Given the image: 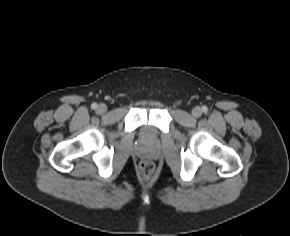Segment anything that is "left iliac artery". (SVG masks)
<instances>
[{"label": "left iliac artery", "mask_w": 290, "mask_h": 236, "mask_svg": "<svg viewBox=\"0 0 290 236\" xmlns=\"http://www.w3.org/2000/svg\"><path fill=\"white\" fill-rule=\"evenodd\" d=\"M202 111L206 113V112L208 111L207 106H203V107H202Z\"/></svg>", "instance_id": "44dca946"}]
</instances>
